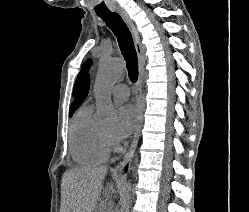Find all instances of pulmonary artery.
I'll use <instances>...</instances> for the list:
<instances>
[{"label":"pulmonary artery","mask_w":249,"mask_h":212,"mask_svg":"<svg viewBox=\"0 0 249 212\" xmlns=\"http://www.w3.org/2000/svg\"><path fill=\"white\" fill-rule=\"evenodd\" d=\"M94 55L99 56V54H94ZM111 93L114 98L126 99L129 96L130 90L128 86L125 84H116L113 86Z\"/></svg>","instance_id":"e3ab8cb5"}]
</instances>
